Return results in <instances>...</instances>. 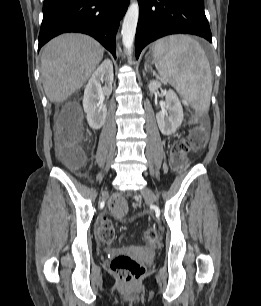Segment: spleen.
Masks as SVG:
<instances>
[{
	"label": "spleen",
	"mask_w": 261,
	"mask_h": 306,
	"mask_svg": "<svg viewBox=\"0 0 261 306\" xmlns=\"http://www.w3.org/2000/svg\"><path fill=\"white\" fill-rule=\"evenodd\" d=\"M152 51L161 77L195 110L208 111L212 74L199 43L187 35H170L157 40Z\"/></svg>",
	"instance_id": "obj_1"
}]
</instances>
